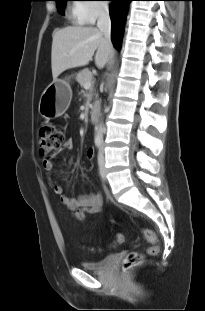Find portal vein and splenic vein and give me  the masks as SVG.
Returning a JSON list of instances; mask_svg holds the SVG:
<instances>
[{
	"mask_svg": "<svg viewBox=\"0 0 205 311\" xmlns=\"http://www.w3.org/2000/svg\"><path fill=\"white\" fill-rule=\"evenodd\" d=\"M91 87H92V82H91V81L86 82L85 85H84V88H85L86 90L91 89Z\"/></svg>",
	"mask_w": 205,
	"mask_h": 311,
	"instance_id": "1",
	"label": "portal vein and splenic vein"
}]
</instances>
